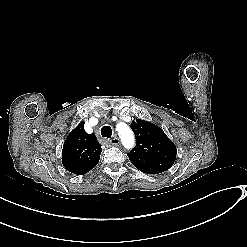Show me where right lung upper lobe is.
I'll use <instances>...</instances> for the list:
<instances>
[{"label":"right lung upper lobe","instance_id":"right-lung-upper-lobe-1","mask_svg":"<svg viewBox=\"0 0 247 247\" xmlns=\"http://www.w3.org/2000/svg\"><path fill=\"white\" fill-rule=\"evenodd\" d=\"M101 152L96 136L87 134L81 122L64 142L62 163L71 173L83 175L98 164Z\"/></svg>","mask_w":247,"mask_h":247}]
</instances>
